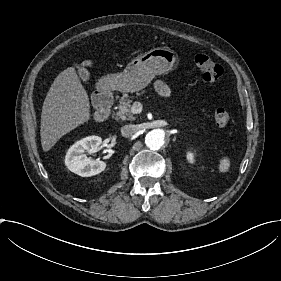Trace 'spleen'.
<instances>
[{"label":"spleen","mask_w":281,"mask_h":281,"mask_svg":"<svg viewBox=\"0 0 281 281\" xmlns=\"http://www.w3.org/2000/svg\"><path fill=\"white\" fill-rule=\"evenodd\" d=\"M230 167V160L228 158H224L222 160H220V164H219V171L220 172H228Z\"/></svg>","instance_id":"spleen-1"}]
</instances>
